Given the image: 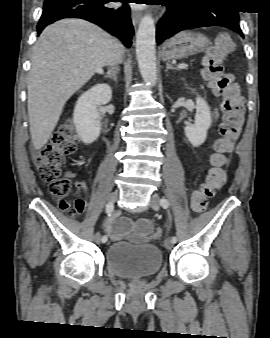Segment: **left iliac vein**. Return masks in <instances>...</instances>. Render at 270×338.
Wrapping results in <instances>:
<instances>
[{
	"label": "left iliac vein",
	"mask_w": 270,
	"mask_h": 338,
	"mask_svg": "<svg viewBox=\"0 0 270 338\" xmlns=\"http://www.w3.org/2000/svg\"><path fill=\"white\" fill-rule=\"evenodd\" d=\"M150 206L154 210H158L160 206V198L158 195H152L150 200ZM165 248L170 250L173 247V242L170 239H166L165 242Z\"/></svg>",
	"instance_id": "obj_1"
}]
</instances>
